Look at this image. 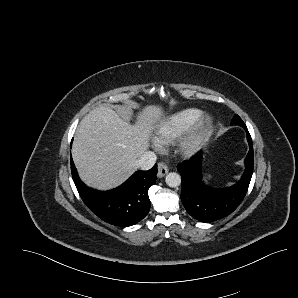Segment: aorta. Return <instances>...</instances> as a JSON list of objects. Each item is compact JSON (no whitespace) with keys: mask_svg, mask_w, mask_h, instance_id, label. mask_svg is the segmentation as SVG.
<instances>
[{"mask_svg":"<svg viewBox=\"0 0 298 298\" xmlns=\"http://www.w3.org/2000/svg\"><path fill=\"white\" fill-rule=\"evenodd\" d=\"M182 178L181 175L177 172H169L165 176V183L171 188H175L181 185Z\"/></svg>","mask_w":298,"mask_h":298,"instance_id":"aorta-1","label":"aorta"}]
</instances>
